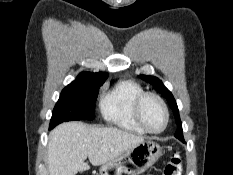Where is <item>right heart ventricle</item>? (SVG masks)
Returning a JSON list of instances; mask_svg holds the SVG:
<instances>
[{
  "label": "right heart ventricle",
  "mask_w": 233,
  "mask_h": 175,
  "mask_svg": "<svg viewBox=\"0 0 233 175\" xmlns=\"http://www.w3.org/2000/svg\"><path fill=\"white\" fill-rule=\"evenodd\" d=\"M143 87L131 79L121 80L100 98L99 108L104 120L111 125L135 134H144V129L137 123L133 107Z\"/></svg>",
  "instance_id": "1"
}]
</instances>
